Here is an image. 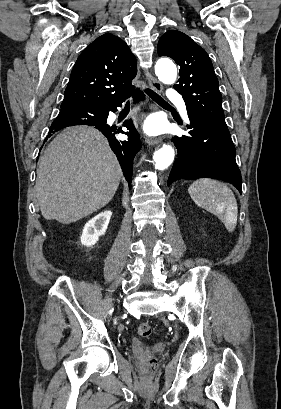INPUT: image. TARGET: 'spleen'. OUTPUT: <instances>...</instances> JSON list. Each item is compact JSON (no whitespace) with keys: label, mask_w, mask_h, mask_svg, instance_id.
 <instances>
[{"label":"spleen","mask_w":281,"mask_h":409,"mask_svg":"<svg viewBox=\"0 0 281 409\" xmlns=\"http://www.w3.org/2000/svg\"><path fill=\"white\" fill-rule=\"evenodd\" d=\"M188 192L195 205L216 215L224 223L227 231L232 233L236 229L238 219L237 200L231 188L225 182L200 178L190 184Z\"/></svg>","instance_id":"1"}]
</instances>
